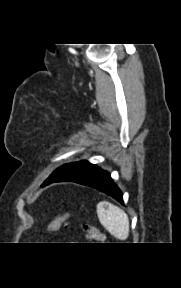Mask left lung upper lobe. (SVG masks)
Listing matches in <instances>:
<instances>
[{
    "mask_svg": "<svg viewBox=\"0 0 181 288\" xmlns=\"http://www.w3.org/2000/svg\"><path fill=\"white\" fill-rule=\"evenodd\" d=\"M100 168L93 165L87 161L73 162L65 164L57 168L46 180L45 182H62L71 181L79 182L82 179L92 175L94 172Z\"/></svg>",
    "mask_w": 181,
    "mask_h": 288,
    "instance_id": "left-lung-upper-lobe-1",
    "label": "left lung upper lobe"
}]
</instances>
